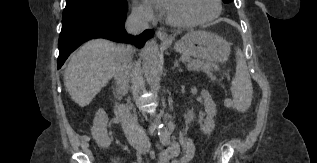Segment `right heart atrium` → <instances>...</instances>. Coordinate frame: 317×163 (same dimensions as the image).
<instances>
[{"label":"right heart atrium","mask_w":317,"mask_h":163,"mask_svg":"<svg viewBox=\"0 0 317 163\" xmlns=\"http://www.w3.org/2000/svg\"><path fill=\"white\" fill-rule=\"evenodd\" d=\"M133 15L142 21L152 22L156 19V13L148 3H136L133 7Z\"/></svg>","instance_id":"1"}]
</instances>
